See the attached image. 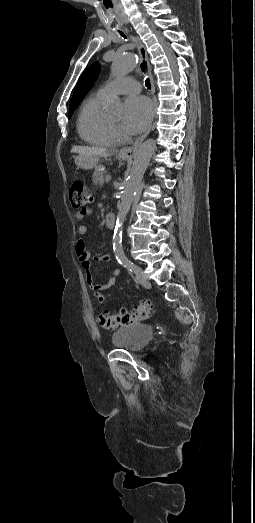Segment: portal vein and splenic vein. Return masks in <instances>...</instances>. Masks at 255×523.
<instances>
[{
    "label": "portal vein and splenic vein",
    "instance_id": "1",
    "mask_svg": "<svg viewBox=\"0 0 255 523\" xmlns=\"http://www.w3.org/2000/svg\"><path fill=\"white\" fill-rule=\"evenodd\" d=\"M114 174L112 172H108L106 174V180L105 183L111 182L113 180Z\"/></svg>",
    "mask_w": 255,
    "mask_h": 523
}]
</instances>
